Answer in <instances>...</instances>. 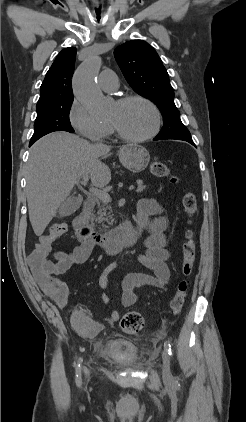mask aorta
I'll use <instances>...</instances> for the list:
<instances>
[{
	"mask_svg": "<svg viewBox=\"0 0 246 422\" xmlns=\"http://www.w3.org/2000/svg\"><path fill=\"white\" fill-rule=\"evenodd\" d=\"M100 66L99 56L90 57L76 70L72 81L75 97L94 116L104 115L107 111L102 93L97 86Z\"/></svg>",
	"mask_w": 246,
	"mask_h": 422,
	"instance_id": "obj_1",
	"label": "aorta"
}]
</instances>
